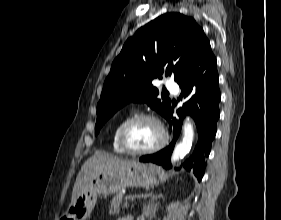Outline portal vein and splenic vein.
<instances>
[{"label": "portal vein and splenic vein", "mask_w": 281, "mask_h": 220, "mask_svg": "<svg viewBox=\"0 0 281 220\" xmlns=\"http://www.w3.org/2000/svg\"><path fill=\"white\" fill-rule=\"evenodd\" d=\"M133 199H134V198H133L131 195L125 197V200H126V201L133 200Z\"/></svg>", "instance_id": "18ae733b"}]
</instances>
